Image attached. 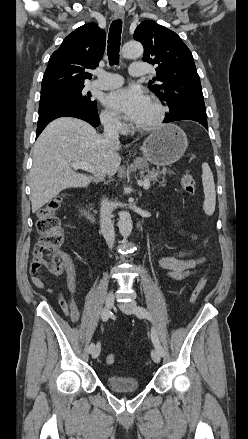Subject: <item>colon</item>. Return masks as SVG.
<instances>
[{
    "mask_svg": "<svg viewBox=\"0 0 248 439\" xmlns=\"http://www.w3.org/2000/svg\"><path fill=\"white\" fill-rule=\"evenodd\" d=\"M181 184L188 195L193 196L195 194L196 182L191 174H184ZM61 203L62 198L60 196L55 197L38 211L37 231L40 238L34 249V262L38 267L45 268L53 275L61 274L64 268L62 255L59 252V248L64 242V230L56 214ZM204 244H208L207 239H204ZM206 281V276H203L196 284L191 295L192 303L203 291ZM105 360L108 364H113L116 358L113 354H107Z\"/></svg>",
    "mask_w": 248,
    "mask_h": 439,
    "instance_id": "1",
    "label": "colon"
}]
</instances>
